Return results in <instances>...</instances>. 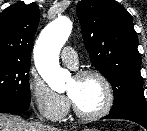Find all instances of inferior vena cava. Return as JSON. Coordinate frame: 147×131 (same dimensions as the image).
Instances as JSON below:
<instances>
[{"instance_id": "obj_1", "label": "inferior vena cava", "mask_w": 147, "mask_h": 131, "mask_svg": "<svg viewBox=\"0 0 147 131\" xmlns=\"http://www.w3.org/2000/svg\"><path fill=\"white\" fill-rule=\"evenodd\" d=\"M40 120H41V121L43 120L42 116L40 117Z\"/></svg>"}]
</instances>
